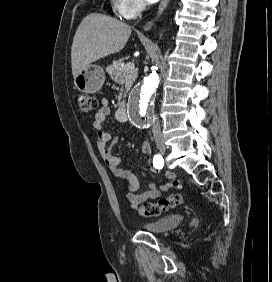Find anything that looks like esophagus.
<instances>
[{"label":"esophagus","mask_w":272,"mask_h":282,"mask_svg":"<svg viewBox=\"0 0 272 282\" xmlns=\"http://www.w3.org/2000/svg\"><path fill=\"white\" fill-rule=\"evenodd\" d=\"M170 0H162L161 3L158 6L157 9V13L154 17L153 20L148 21L144 26L143 29L145 31H148L149 29H151V27L155 24V22L159 19V17L161 16V14L163 13V11L165 10V8L167 7V5L169 4Z\"/></svg>","instance_id":"1"}]
</instances>
